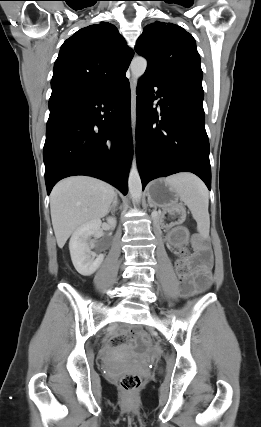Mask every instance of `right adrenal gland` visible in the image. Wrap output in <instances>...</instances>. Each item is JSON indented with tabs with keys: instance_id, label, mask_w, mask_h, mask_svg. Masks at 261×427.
I'll list each match as a JSON object with an SVG mask.
<instances>
[{
	"instance_id": "1",
	"label": "right adrenal gland",
	"mask_w": 261,
	"mask_h": 427,
	"mask_svg": "<svg viewBox=\"0 0 261 427\" xmlns=\"http://www.w3.org/2000/svg\"><path fill=\"white\" fill-rule=\"evenodd\" d=\"M117 206H118V197L117 195H115L114 200L112 202V205L110 206L108 213L111 212L112 214L115 213V211L117 210Z\"/></svg>"
}]
</instances>
